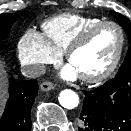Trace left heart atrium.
<instances>
[{"instance_id":"1","label":"left heart atrium","mask_w":131,"mask_h":131,"mask_svg":"<svg viewBox=\"0 0 131 131\" xmlns=\"http://www.w3.org/2000/svg\"><path fill=\"white\" fill-rule=\"evenodd\" d=\"M63 76L68 79H74L78 75L76 70L69 64L63 70Z\"/></svg>"}]
</instances>
